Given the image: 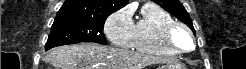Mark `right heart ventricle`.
<instances>
[{
    "mask_svg": "<svg viewBox=\"0 0 246 69\" xmlns=\"http://www.w3.org/2000/svg\"><path fill=\"white\" fill-rule=\"evenodd\" d=\"M175 22L172 15L152 3H146L133 25L132 45L130 49L155 56L166 57L176 54L163 39L166 25Z\"/></svg>",
    "mask_w": 246,
    "mask_h": 69,
    "instance_id": "obj_1",
    "label": "right heart ventricle"
}]
</instances>
